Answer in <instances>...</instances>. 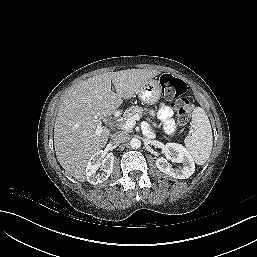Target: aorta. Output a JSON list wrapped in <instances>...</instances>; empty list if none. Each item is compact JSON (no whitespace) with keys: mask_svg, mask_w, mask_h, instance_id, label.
I'll return each instance as SVG.
<instances>
[{"mask_svg":"<svg viewBox=\"0 0 257 257\" xmlns=\"http://www.w3.org/2000/svg\"><path fill=\"white\" fill-rule=\"evenodd\" d=\"M130 146L133 149H138L141 146V141L138 138H132L130 141Z\"/></svg>","mask_w":257,"mask_h":257,"instance_id":"obj_1","label":"aorta"}]
</instances>
